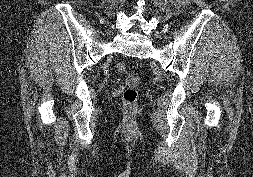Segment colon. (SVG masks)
Here are the masks:
<instances>
[{"label":"colon","instance_id":"colon-1","mask_svg":"<svg viewBox=\"0 0 253 177\" xmlns=\"http://www.w3.org/2000/svg\"><path fill=\"white\" fill-rule=\"evenodd\" d=\"M116 69L120 73H125L127 71V65L124 62H118L116 64ZM123 103L126 109L134 110L137 106L138 92L133 87H128L123 91Z\"/></svg>","mask_w":253,"mask_h":177}]
</instances>
